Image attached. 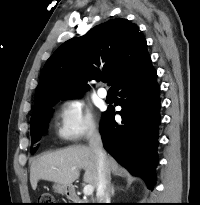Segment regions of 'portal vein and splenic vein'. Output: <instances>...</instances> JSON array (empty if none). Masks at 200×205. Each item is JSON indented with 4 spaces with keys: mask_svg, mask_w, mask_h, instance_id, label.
I'll return each instance as SVG.
<instances>
[{
    "mask_svg": "<svg viewBox=\"0 0 200 205\" xmlns=\"http://www.w3.org/2000/svg\"><path fill=\"white\" fill-rule=\"evenodd\" d=\"M94 191V187L90 184L84 186L83 193L87 196L92 195Z\"/></svg>",
    "mask_w": 200,
    "mask_h": 205,
    "instance_id": "portal-vein-and-splenic-vein-1",
    "label": "portal vein and splenic vein"
}]
</instances>
